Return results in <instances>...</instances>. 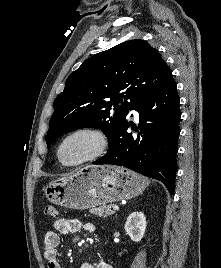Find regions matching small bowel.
I'll list each match as a JSON object with an SVG mask.
<instances>
[{
	"label": "small bowel",
	"instance_id": "1",
	"mask_svg": "<svg viewBox=\"0 0 221 268\" xmlns=\"http://www.w3.org/2000/svg\"><path fill=\"white\" fill-rule=\"evenodd\" d=\"M84 229L90 234H95L97 231L96 226L93 223H85L78 219H65L59 218L54 222V230L46 232L44 237V257L47 260L48 268H61L59 257H58V245H59V234L76 233L81 229ZM80 268H113L107 262L100 261L96 264L84 262L80 265Z\"/></svg>",
	"mask_w": 221,
	"mask_h": 268
}]
</instances>
